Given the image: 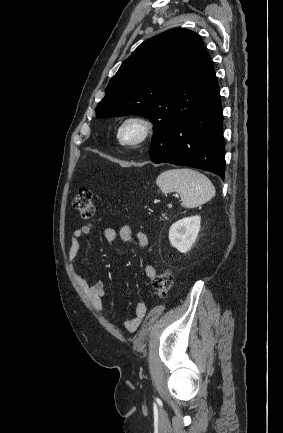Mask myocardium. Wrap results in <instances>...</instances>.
I'll return each instance as SVG.
<instances>
[{"mask_svg":"<svg viewBox=\"0 0 283 433\" xmlns=\"http://www.w3.org/2000/svg\"><path fill=\"white\" fill-rule=\"evenodd\" d=\"M138 124L141 127V133L138 137L131 140L122 138V131L129 124ZM156 129L155 122L148 116L142 114H133L125 117L117 127L116 139L118 143L127 148H137L149 142L154 136Z\"/></svg>","mask_w":283,"mask_h":433,"instance_id":"obj_1","label":"myocardium"}]
</instances>
